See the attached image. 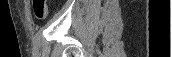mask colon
<instances>
[{
	"instance_id": "1",
	"label": "colon",
	"mask_w": 172,
	"mask_h": 57,
	"mask_svg": "<svg viewBox=\"0 0 172 57\" xmlns=\"http://www.w3.org/2000/svg\"><path fill=\"white\" fill-rule=\"evenodd\" d=\"M33 12L37 19H44L47 15V1L46 0H33Z\"/></svg>"
}]
</instances>
